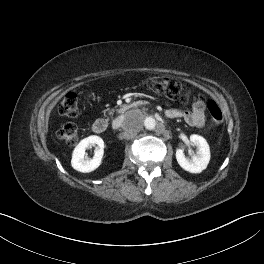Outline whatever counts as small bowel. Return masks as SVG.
Returning <instances> with one entry per match:
<instances>
[{
  "instance_id": "1",
  "label": "small bowel",
  "mask_w": 264,
  "mask_h": 264,
  "mask_svg": "<svg viewBox=\"0 0 264 264\" xmlns=\"http://www.w3.org/2000/svg\"><path fill=\"white\" fill-rule=\"evenodd\" d=\"M204 110V101L201 98H197L193 103L191 110L182 111L178 109H170L166 111V114L171 118H182L190 126L201 127L206 122Z\"/></svg>"
}]
</instances>
